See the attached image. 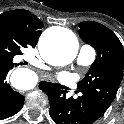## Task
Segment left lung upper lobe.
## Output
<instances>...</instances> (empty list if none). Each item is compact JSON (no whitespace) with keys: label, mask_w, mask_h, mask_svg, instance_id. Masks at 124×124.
Here are the masks:
<instances>
[{"label":"left lung upper lobe","mask_w":124,"mask_h":124,"mask_svg":"<svg viewBox=\"0 0 124 124\" xmlns=\"http://www.w3.org/2000/svg\"><path fill=\"white\" fill-rule=\"evenodd\" d=\"M79 28V36L96 49L97 57L84 79L78 83V89L107 110L123 78L122 44L110 29L98 22H81Z\"/></svg>","instance_id":"5c2ea615"}]
</instances>
